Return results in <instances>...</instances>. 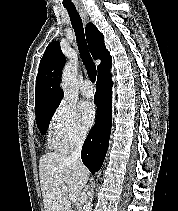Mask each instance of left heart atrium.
I'll return each instance as SVG.
<instances>
[{
	"label": "left heart atrium",
	"mask_w": 178,
	"mask_h": 211,
	"mask_svg": "<svg viewBox=\"0 0 178 211\" xmlns=\"http://www.w3.org/2000/svg\"><path fill=\"white\" fill-rule=\"evenodd\" d=\"M80 115L82 122L87 126H91L95 120L96 107L92 101H83L80 104Z\"/></svg>",
	"instance_id": "39dd6f15"
}]
</instances>
